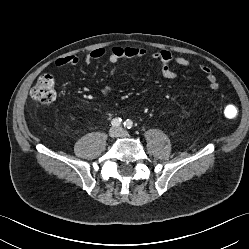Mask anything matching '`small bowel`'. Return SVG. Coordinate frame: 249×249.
I'll use <instances>...</instances> for the list:
<instances>
[{
    "mask_svg": "<svg viewBox=\"0 0 249 249\" xmlns=\"http://www.w3.org/2000/svg\"><path fill=\"white\" fill-rule=\"evenodd\" d=\"M105 55H107V59L112 65L109 77L115 83L118 79L121 62H130L146 57L148 55V51L139 46H114L108 53H106L103 48H97L87 53L84 56L83 61L85 64H90L103 58ZM150 57L160 63V72L166 79L175 78L178 67H189L192 65L191 60L188 58L175 55L167 49L156 50L150 54ZM79 61L80 59L78 56L69 55L56 59L55 65L57 67L76 66ZM199 69L205 75L209 88L212 91H216L219 88V83L212 69L205 63H200ZM101 92L104 96L109 97L113 93V87L109 85L103 86L101 88Z\"/></svg>",
    "mask_w": 249,
    "mask_h": 249,
    "instance_id": "c3829d8e",
    "label": "small bowel"
}]
</instances>
